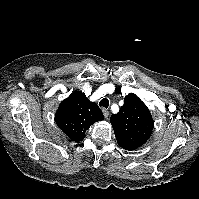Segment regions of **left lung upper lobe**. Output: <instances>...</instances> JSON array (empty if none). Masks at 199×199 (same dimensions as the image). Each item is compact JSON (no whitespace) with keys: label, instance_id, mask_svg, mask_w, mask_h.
Returning <instances> with one entry per match:
<instances>
[{"label":"left lung upper lobe","instance_id":"1","mask_svg":"<svg viewBox=\"0 0 199 199\" xmlns=\"http://www.w3.org/2000/svg\"><path fill=\"white\" fill-rule=\"evenodd\" d=\"M119 146L134 150L149 139L154 121L146 105L135 94L124 99L118 114L110 118Z\"/></svg>","mask_w":199,"mask_h":199}]
</instances>
